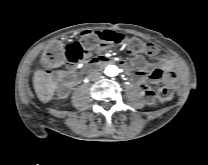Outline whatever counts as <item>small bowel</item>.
<instances>
[{
    "label": "small bowel",
    "instance_id": "1",
    "mask_svg": "<svg viewBox=\"0 0 208 165\" xmlns=\"http://www.w3.org/2000/svg\"><path fill=\"white\" fill-rule=\"evenodd\" d=\"M102 46L101 49H104ZM111 62L110 56L94 55L89 58V64L96 66L97 64H109ZM121 66L126 70H133V76L141 87L144 96L149 102H152L154 92L151 89V83L170 84L175 82L176 70L172 59L166 55H162L157 64H149L145 61L142 55H134L130 60V65L126 62H121ZM68 73V79L61 81L59 86L62 88L59 92L60 96L67 94V89L73 82L78 81L79 73L76 71L77 66L74 62H67L64 66Z\"/></svg>",
    "mask_w": 208,
    "mask_h": 165
}]
</instances>
